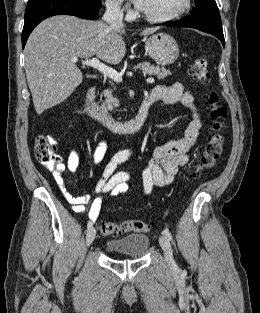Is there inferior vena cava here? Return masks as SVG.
<instances>
[{"label": "inferior vena cava", "instance_id": "obj_1", "mask_svg": "<svg viewBox=\"0 0 260 313\" xmlns=\"http://www.w3.org/2000/svg\"><path fill=\"white\" fill-rule=\"evenodd\" d=\"M103 20L111 26H123V12L117 2L109 1L106 3V12Z\"/></svg>", "mask_w": 260, "mask_h": 313}]
</instances>
